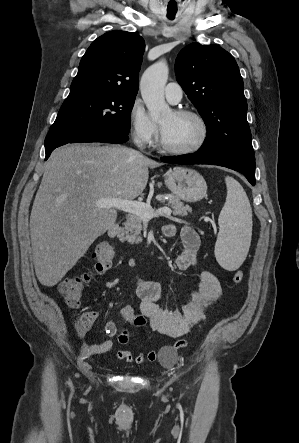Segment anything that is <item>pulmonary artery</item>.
Masks as SVG:
<instances>
[{
    "label": "pulmonary artery",
    "instance_id": "obj_1",
    "mask_svg": "<svg viewBox=\"0 0 299 443\" xmlns=\"http://www.w3.org/2000/svg\"><path fill=\"white\" fill-rule=\"evenodd\" d=\"M164 94L170 103L176 104L182 99L183 91L178 83L171 82L166 85Z\"/></svg>",
    "mask_w": 299,
    "mask_h": 443
}]
</instances>
